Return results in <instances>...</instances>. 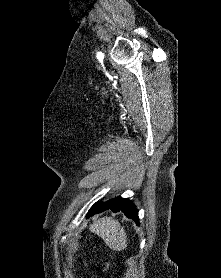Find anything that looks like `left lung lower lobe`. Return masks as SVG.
Masks as SVG:
<instances>
[{"instance_id":"left-lung-lower-lobe-1","label":"left lung lower lobe","mask_w":221,"mask_h":278,"mask_svg":"<svg viewBox=\"0 0 221 278\" xmlns=\"http://www.w3.org/2000/svg\"><path fill=\"white\" fill-rule=\"evenodd\" d=\"M108 209H111L113 212L122 211L128 218L133 219L136 222V224H139L137 208L131 201L121 197H116L105 203L94 204L89 210L88 216L101 213Z\"/></svg>"}]
</instances>
